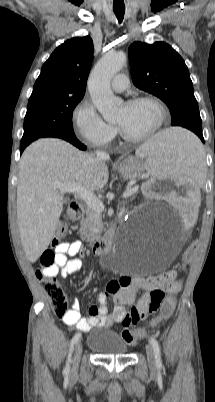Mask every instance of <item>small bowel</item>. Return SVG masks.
<instances>
[{
  "mask_svg": "<svg viewBox=\"0 0 215 402\" xmlns=\"http://www.w3.org/2000/svg\"><path fill=\"white\" fill-rule=\"evenodd\" d=\"M80 241L62 242L55 247V264L43 273L48 276L60 275L62 278L78 272L82 267V262L75 256L82 251ZM67 256L72 258L68 259ZM181 287L180 280H177L175 274L172 278L164 277H139L123 276L119 279L110 281L103 292L98 295V306L89 308V316L81 317L80 302L74 299L71 309L62 317L63 321L70 327L80 331H88L93 327H110L116 323L123 326L136 324L150 313L149 307L152 295L155 292H178ZM95 291V289H94ZM139 292H143L137 300ZM114 301V311L108 314V300ZM131 306L129 310L125 306ZM138 312V316L133 315V311Z\"/></svg>",
  "mask_w": 215,
  "mask_h": 402,
  "instance_id": "1",
  "label": "small bowel"
}]
</instances>
